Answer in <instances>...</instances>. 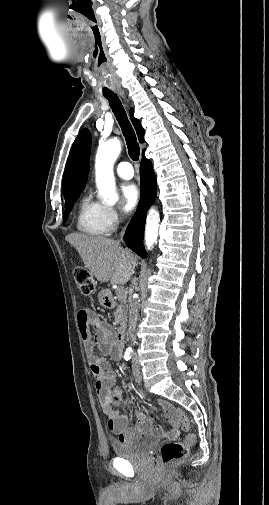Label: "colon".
<instances>
[{
	"instance_id": "5ec220e1",
	"label": "colon",
	"mask_w": 269,
	"mask_h": 505,
	"mask_svg": "<svg viewBox=\"0 0 269 505\" xmlns=\"http://www.w3.org/2000/svg\"><path fill=\"white\" fill-rule=\"evenodd\" d=\"M73 276L81 294L90 296L95 292L94 278L86 268L82 266H75ZM111 401H119V394L116 392L113 393ZM174 416L175 419L182 425L183 429L187 430L189 428V420L180 410L177 409ZM193 442L194 437L192 435H187L183 441H171L165 443L161 447L160 452L163 464L171 465L185 458L188 454V449Z\"/></svg>"
}]
</instances>
